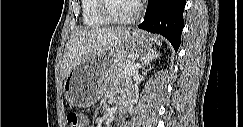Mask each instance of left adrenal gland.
Masks as SVG:
<instances>
[{"instance_id":"a2214340","label":"left adrenal gland","mask_w":243,"mask_h":127,"mask_svg":"<svg viewBox=\"0 0 243 127\" xmlns=\"http://www.w3.org/2000/svg\"><path fill=\"white\" fill-rule=\"evenodd\" d=\"M159 54L156 52H152L151 54H149L148 56H146L144 58V61L142 63V68L145 69L146 66H148L150 64V62H152L153 60H155L156 58H158Z\"/></svg>"}]
</instances>
